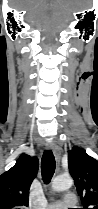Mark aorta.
<instances>
[{
    "instance_id": "1",
    "label": "aorta",
    "mask_w": 98,
    "mask_h": 209,
    "mask_svg": "<svg viewBox=\"0 0 98 209\" xmlns=\"http://www.w3.org/2000/svg\"><path fill=\"white\" fill-rule=\"evenodd\" d=\"M73 185V180L70 176H58L52 181V190L56 192L68 190Z\"/></svg>"
}]
</instances>
